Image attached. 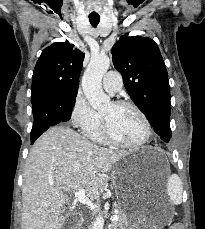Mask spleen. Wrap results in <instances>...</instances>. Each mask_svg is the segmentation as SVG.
Here are the masks:
<instances>
[{"mask_svg":"<svg viewBox=\"0 0 205 229\" xmlns=\"http://www.w3.org/2000/svg\"><path fill=\"white\" fill-rule=\"evenodd\" d=\"M167 192L172 204L179 205L182 203L183 186L180 177L172 174L167 181Z\"/></svg>","mask_w":205,"mask_h":229,"instance_id":"3e777b00","label":"spleen"}]
</instances>
